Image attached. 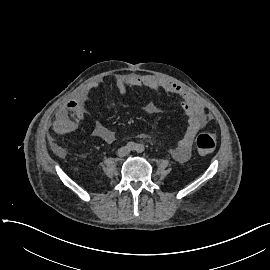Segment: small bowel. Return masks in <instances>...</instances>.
Returning <instances> with one entry per match:
<instances>
[{"mask_svg":"<svg viewBox=\"0 0 270 270\" xmlns=\"http://www.w3.org/2000/svg\"><path fill=\"white\" fill-rule=\"evenodd\" d=\"M115 81L121 95H125L129 88L145 87L154 92H165L179 97L181 107L188 120L185 131L171 149V154L177 161H186L190 157L196 134L212 119L202 103L178 84L155 75L123 74L116 76ZM98 85V82H91L77 98L66 103L65 110L71 114L72 118L65 120L61 132H70L78 127L79 121L84 116L88 97L92 91L97 89ZM144 110L150 115L159 113V108L153 103L146 104ZM93 135L106 143H113L117 139L116 132L101 123L94 126Z\"/></svg>","mask_w":270,"mask_h":270,"instance_id":"obj_1","label":"small bowel"}]
</instances>
